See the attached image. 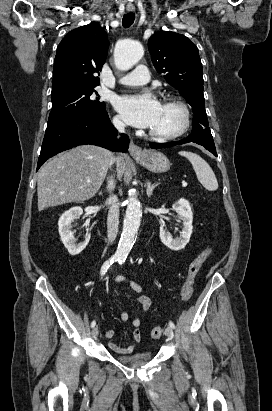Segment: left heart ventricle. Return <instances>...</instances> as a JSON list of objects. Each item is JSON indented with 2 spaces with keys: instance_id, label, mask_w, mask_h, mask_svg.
Returning a JSON list of instances; mask_svg holds the SVG:
<instances>
[{
  "instance_id": "obj_1",
  "label": "left heart ventricle",
  "mask_w": 272,
  "mask_h": 411,
  "mask_svg": "<svg viewBox=\"0 0 272 411\" xmlns=\"http://www.w3.org/2000/svg\"><path fill=\"white\" fill-rule=\"evenodd\" d=\"M181 122L182 113L177 107L161 104L158 117L151 130L158 133H171L180 127Z\"/></svg>"
}]
</instances>
